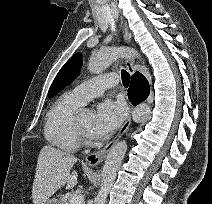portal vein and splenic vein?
<instances>
[{
	"mask_svg": "<svg viewBox=\"0 0 212 204\" xmlns=\"http://www.w3.org/2000/svg\"><path fill=\"white\" fill-rule=\"evenodd\" d=\"M83 197L81 195L75 194L70 199V204H83Z\"/></svg>",
	"mask_w": 212,
	"mask_h": 204,
	"instance_id": "obj_1",
	"label": "portal vein and splenic vein"
}]
</instances>
